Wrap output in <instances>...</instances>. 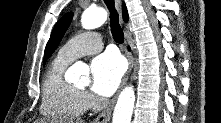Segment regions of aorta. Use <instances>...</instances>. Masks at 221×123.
Masks as SVG:
<instances>
[{
  "label": "aorta",
  "mask_w": 221,
  "mask_h": 123,
  "mask_svg": "<svg viewBox=\"0 0 221 123\" xmlns=\"http://www.w3.org/2000/svg\"><path fill=\"white\" fill-rule=\"evenodd\" d=\"M107 20V12L103 8H88L81 17L82 27L90 30L103 25ZM70 73L75 81L79 76L84 75L81 80L89 82L88 70L82 65L75 64L70 68ZM135 104V93L133 86L125 87L119 95L117 104L114 109L112 123H130Z\"/></svg>",
  "instance_id": "1"
}]
</instances>
